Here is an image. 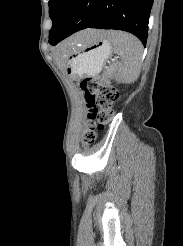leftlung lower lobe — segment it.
<instances>
[{"label":"left lung lower lobe","instance_id":"1","mask_svg":"<svg viewBox=\"0 0 183 246\" xmlns=\"http://www.w3.org/2000/svg\"><path fill=\"white\" fill-rule=\"evenodd\" d=\"M153 0H79L60 32L49 39L56 45L85 29H116L130 32L146 45Z\"/></svg>","mask_w":183,"mask_h":246}]
</instances>
